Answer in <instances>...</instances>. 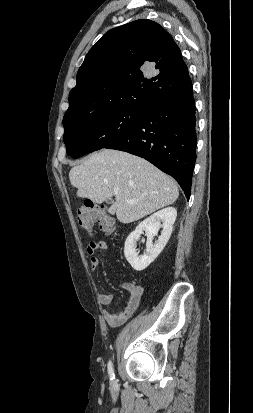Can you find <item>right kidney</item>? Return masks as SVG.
I'll list each match as a JSON object with an SVG mask.
<instances>
[{
	"label": "right kidney",
	"mask_w": 253,
	"mask_h": 413,
	"mask_svg": "<svg viewBox=\"0 0 253 413\" xmlns=\"http://www.w3.org/2000/svg\"><path fill=\"white\" fill-rule=\"evenodd\" d=\"M176 217L177 211L174 207L164 208L146 218L129 234L125 241L124 255L134 270H144L162 252L171 236ZM160 228H162L161 235L153 244V237L158 234ZM143 230L147 236L146 251L143 255H138L136 242L140 238Z\"/></svg>",
	"instance_id": "obj_1"
}]
</instances>
